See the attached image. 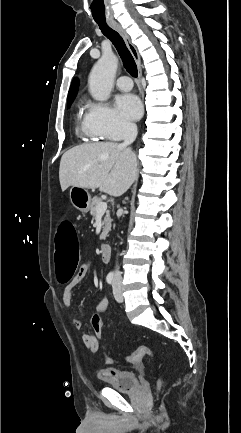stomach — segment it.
<instances>
[{"instance_id":"obj_1","label":"stomach","mask_w":241,"mask_h":433,"mask_svg":"<svg viewBox=\"0 0 241 433\" xmlns=\"http://www.w3.org/2000/svg\"><path fill=\"white\" fill-rule=\"evenodd\" d=\"M70 201L77 210L87 213L90 209L91 196L85 188L73 186L70 189Z\"/></svg>"}]
</instances>
